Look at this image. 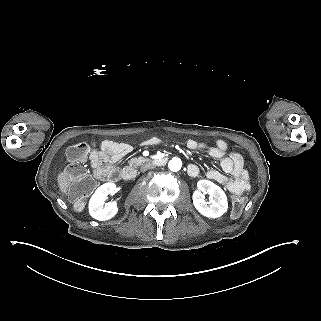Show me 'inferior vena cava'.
Returning <instances> with one entry per match:
<instances>
[{
    "label": "inferior vena cava",
    "mask_w": 321,
    "mask_h": 321,
    "mask_svg": "<svg viewBox=\"0 0 321 321\" xmlns=\"http://www.w3.org/2000/svg\"><path fill=\"white\" fill-rule=\"evenodd\" d=\"M155 166L154 165H152V164H146V165H143L141 168H140V170H141V172H145V171H147V170H149V169H152V168H154Z\"/></svg>",
    "instance_id": "602c4592"
}]
</instances>
